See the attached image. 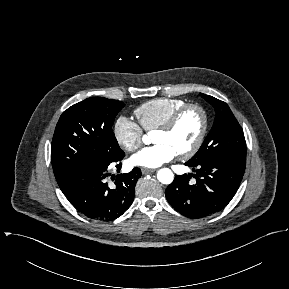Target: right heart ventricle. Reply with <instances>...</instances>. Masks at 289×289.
Instances as JSON below:
<instances>
[{"mask_svg": "<svg viewBox=\"0 0 289 289\" xmlns=\"http://www.w3.org/2000/svg\"><path fill=\"white\" fill-rule=\"evenodd\" d=\"M187 102L179 98H156L136 108L135 114L142 128L146 131L156 130L181 106Z\"/></svg>", "mask_w": 289, "mask_h": 289, "instance_id": "obj_1", "label": "right heart ventricle"}]
</instances>
